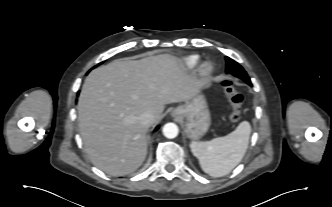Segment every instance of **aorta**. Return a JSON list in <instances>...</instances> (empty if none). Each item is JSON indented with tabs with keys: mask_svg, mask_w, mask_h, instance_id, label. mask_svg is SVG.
<instances>
[{
	"mask_svg": "<svg viewBox=\"0 0 332 207\" xmlns=\"http://www.w3.org/2000/svg\"><path fill=\"white\" fill-rule=\"evenodd\" d=\"M178 127L175 123H167L163 127V134L169 139H173L178 135Z\"/></svg>",
	"mask_w": 332,
	"mask_h": 207,
	"instance_id": "762f6f07",
	"label": "aorta"
}]
</instances>
